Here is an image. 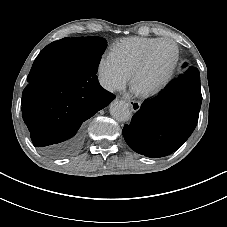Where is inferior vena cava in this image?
Returning a JSON list of instances; mask_svg holds the SVG:
<instances>
[{"label":"inferior vena cava","instance_id":"inferior-vena-cava-1","mask_svg":"<svg viewBox=\"0 0 227 227\" xmlns=\"http://www.w3.org/2000/svg\"><path fill=\"white\" fill-rule=\"evenodd\" d=\"M99 83L104 89L110 92L115 90V87L112 85L111 81L104 75H99Z\"/></svg>","mask_w":227,"mask_h":227}]
</instances>
